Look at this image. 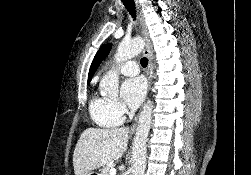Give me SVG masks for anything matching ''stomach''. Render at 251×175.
I'll list each match as a JSON object with an SVG mask.
<instances>
[{"label":"stomach","instance_id":"1","mask_svg":"<svg viewBox=\"0 0 251 175\" xmlns=\"http://www.w3.org/2000/svg\"><path fill=\"white\" fill-rule=\"evenodd\" d=\"M88 175H99V173H97V171H90V173H88Z\"/></svg>","mask_w":251,"mask_h":175}]
</instances>
